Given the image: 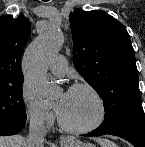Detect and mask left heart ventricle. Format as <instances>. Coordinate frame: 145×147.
<instances>
[{
  "mask_svg": "<svg viewBox=\"0 0 145 147\" xmlns=\"http://www.w3.org/2000/svg\"><path fill=\"white\" fill-rule=\"evenodd\" d=\"M55 105L62 119L71 126H85L98 116V105L90 92L84 89L60 94Z\"/></svg>",
  "mask_w": 145,
  "mask_h": 147,
  "instance_id": "1",
  "label": "left heart ventricle"
}]
</instances>
